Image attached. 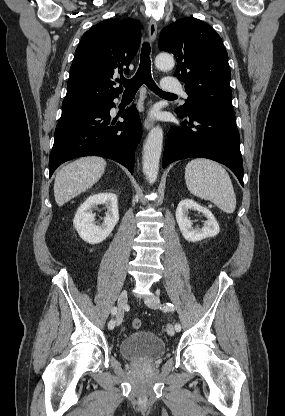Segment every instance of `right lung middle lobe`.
<instances>
[{
	"mask_svg": "<svg viewBox=\"0 0 285 416\" xmlns=\"http://www.w3.org/2000/svg\"><path fill=\"white\" fill-rule=\"evenodd\" d=\"M109 103H69L62 105V113L81 111L86 109L107 106Z\"/></svg>",
	"mask_w": 285,
	"mask_h": 416,
	"instance_id": "dd1d6c3e",
	"label": "right lung middle lobe"
}]
</instances>
